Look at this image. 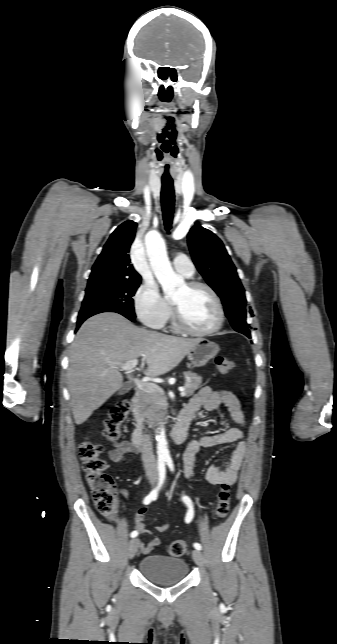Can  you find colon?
Returning <instances> with one entry per match:
<instances>
[{
    "instance_id": "colon-1",
    "label": "colon",
    "mask_w": 337,
    "mask_h": 644,
    "mask_svg": "<svg viewBox=\"0 0 337 644\" xmlns=\"http://www.w3.org/2000/svg\"><path fill=\"white\" fill-rule=\"evenodd\" d=\"M216 367L221 374L231 372L235 363L226 356H218L215 359ZM130 412V403L124 399L111 407L104 420L103 435L107 441L118 445L122 435V427ZM102 446L100 444L85 440L78 447V455L82 461L86 481L91 489L92 500L99 511L105 517H111L115 511V495L113 479L105 473V461L101 456ZM230 509V486L227 483L220 485L215 507V516L224 519ZM187 551V543L184 540H175L169 547L168 552L172 557H181Z\"/></svg>"
}]
</instances>
